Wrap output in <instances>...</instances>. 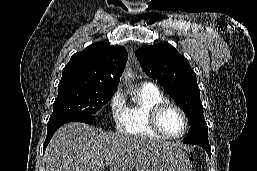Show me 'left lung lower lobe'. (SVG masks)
<instances>
[{
  "label": "left lung lower lobe",
  "mask_w": 257,
  "mask_h": 171,
  "mask_svg": "<svg viewBox=\"0 0 257 171\" xmlns=\"http://www.w3.org/2000/svg\"><path fill=\"white\" fill-rule=\"evenodd\" d=\"M195 145H198V146L202 147L203 149H205L209 158L211 157V148H210L209 142H205V143L199 142V143H196Z\"/></svg>",
  "instance_id": "obj_1"
}]
</instances>
